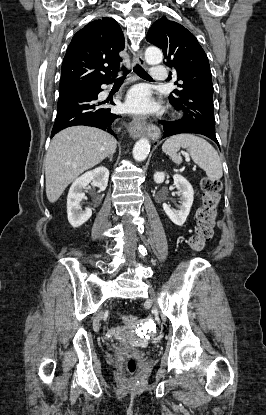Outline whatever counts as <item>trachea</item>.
<instances>
[{"instance_id": "1", "label": "trachea", "mask_w": 266, "mask_h": 415, "mask_svg": "<svg viewBox=\"0 0 266 415\" xmlns=\"http://www.w3.org/2000/svg\"><path fill=\"white\" fill-rule=\"evenodd\" d=\"M123 70V75L121 77H119L117 80L118 81H122L125 79L126 75L128 74V70L123 66L122 67ZM133 70L142 78H149L151 79V77L148 75V73L139 65L137 64Z\"/></svg>"}]
</instances>
